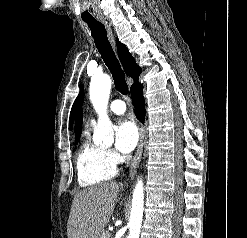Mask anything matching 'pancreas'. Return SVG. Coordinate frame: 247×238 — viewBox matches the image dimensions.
Masks as SVG:
<instances>
[{"label": "pancreas", "instance_id": "cf45deb5", "mask_svg": "<svg viewBox=\"0 0 247 238\" xmlns=\"http://www.w3.org/2000/svg\"><path fill=\"white\" fill-rule=\"evenodd\" d=\"M110 233L109 232H103L100 236V238H110Z\"/></svg>", "mask_w": 247, "mask_h": 238}]
</instances>
